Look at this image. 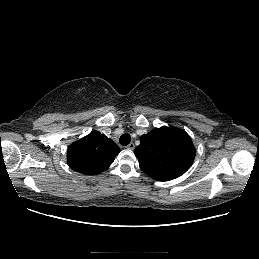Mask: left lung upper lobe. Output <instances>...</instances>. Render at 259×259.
Returning a JSON list of instances; mask_svg holds the SVG:
<instances>
[{"label": "left lung upper lobe", "instance_id": "5c2ea615", "mask_svg": "<svg viewBox=\"0 0 259 259\" xmlns=\"http://www.w3.org/2000/svg\"><path fill=\"white\" fill-rule=\"evenodd\" d=\"M134 154L145 174L154 180L168 181L190 168L196 151L184 130L163 126L142 135Z\"/></svg>", "mask_w": 259, "mask_h": 259}]
</instances>
